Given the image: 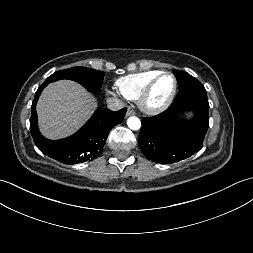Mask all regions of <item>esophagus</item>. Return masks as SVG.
Wrapping results in <instances>:
<instances>
[{
	"instance_id": "1",
	"label": "esophagus",
	"mask_w": 253,
	"mask_h": 253,
	"mask_svg": "<svg viewBox=\"0 0 253 253\" xmlns=\"http://www.w3.org/2000/svg\"><path fill=\"white\" fill-rule=\"evenodd\" d=\"M131 115H134V111L131 110V109H128L127 113H126V116L128 117V116H131Z\"/></svg>"
}]
</instances>
